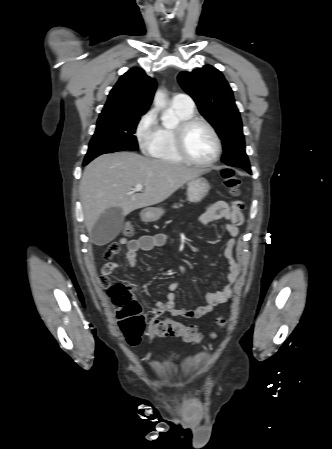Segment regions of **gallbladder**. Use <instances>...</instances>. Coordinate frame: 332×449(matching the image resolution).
<instances>
[{"mask_svg":"<svg viewBox=\"0 0 332 449\" xmlns=\"http://www.w3.org/2000/svg\"><path fill=\"white\" fill-rule=\"evenodd\" d=\"M124 222L121 208L110 207L104 210L91 231V240L95 245L102 246L119 234Z\"/></svg>","mask_w":332,"mask_h":449,"instance_id":"gallbladder-1","label":"gallbladder"}]
</instances>
